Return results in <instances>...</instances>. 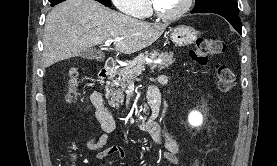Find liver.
Wrapping results in <instances>:
<instances>
[{"label": "liver", "instance_id": "1", "mask_svg": "<svg viewBox=\"0 0 277 166\" xmlns=\"http://www.w3.org/2000/svg\"><path fill=\"white\" fill-rule=\"evenodd\" d=\"M168 23H147L111 10L95 0H66L47 15L43 67L80 55L108 39L114 48L132 54L154 43Z\"/></svg>", "mask_w": 277, "mask_h": 166}]
</instances>
